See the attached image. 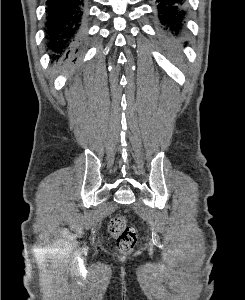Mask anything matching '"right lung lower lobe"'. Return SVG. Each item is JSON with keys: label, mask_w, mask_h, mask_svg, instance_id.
Masks as SVG:
<instances>
[{"label": "right lung lower lobe", "mask_w": 245, "mask_h": 300, "mask_svg": "<svg viewBox=\"0 0 245 300\" xmlns=\"http://www.w3.org/2000/svg\"><path fill=\"white\" fill-rule=\"evenodd\" d=\"M46 5L48 48L56 58L77 52L85 28L86 0H47Z\"/></svg>", "instance_id": "1"}]
</instances>
